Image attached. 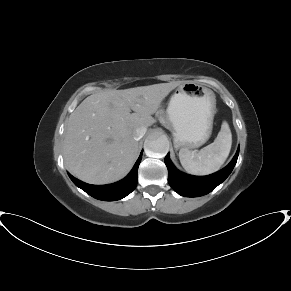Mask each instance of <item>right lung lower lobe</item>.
Returning <instances> with one entry per match:
<instances>
[{"mask_svg": "<svg viewBox=\"0 0 291 291\" xmlns=\"http://www.w3.org/2000/svg\"><path fill=\"white\" fill-rule=\"evenodd\" d=\"M142 158V152L136 161L134 167L131 172L122 180L109 184V185H90L84 183L72 175L69 174L70 179L74 182L76 186L84 190L90 196L103 200V201H115L124 198L128 194H130L137 185L138 177V167Z\"/></svg>", "mask_w": 291, "mask_h": 291, "instance_id": "98d812e1", "label": "right lung lower lobe"}]
</instances>
